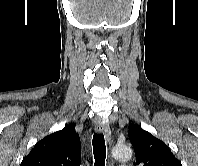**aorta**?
<instances>
[{
  "label": "aorta",
  "mask_w": 198,
  "mask_h": 166,
  "mask_svg": "<svg viewBox=\"0 0 198 166\" xmlns=\"http://www.w3.org/2000/svg\"><path fill=\"white\" fill-rule=\"evenodd\" d=\"M132 150L127 145H117L112 150V156L119 161H126L132 158Z\"/></svg>",
  "instance_id": "762f6f07"
}]
</instances>
